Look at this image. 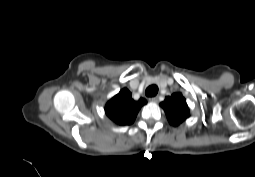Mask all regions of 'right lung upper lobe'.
Masks as SVG:
<instances>
[{
	"label": "right lung upper lobe",
	"instance_id": "obj_1",
	"mask_svg": "<svg viewBox=\"0 0 255 177\" xmlns=\"http://www.w3.org/2000/svg\"><path fill=\"white\" fill-rule=\"evenodd\" d=\"M146 103L144 98H140L138 101L133 100L131 92L127 88H123L107 102L105 113L118 125H130L134 122L140 108Z\"/></svg>",
	"mask_w": 255,
	"mask_h": 177
}]
</instances>
